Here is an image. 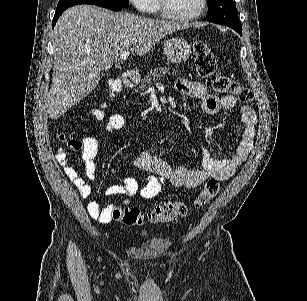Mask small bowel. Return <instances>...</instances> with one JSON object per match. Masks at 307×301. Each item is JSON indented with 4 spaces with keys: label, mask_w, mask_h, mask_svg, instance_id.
<instances>
[{
    "label": "small bowel",
    "mask_w": 307,
    "mask_h": 301,
    "mask_svg": "<svg viewBox=\"0 0 307 301\" xmlns=\"http://www.w3.org/2000/svg\"><path fill=\"white\" fill-rule=\"evenodd\" d=\"M178 92L191 98L201 100V108L208 115H216L221 110H233L237 106V100L233 95L218 97L209 94L207 88L199 82L180 79L176 82ZM241 119L244 128L240 135L239 144L227 158L213 157L203 146H198L201 156V168L190 169L187 167L173 168L168 162L148 151H142L135 158L134 164L139 169L152 173L148 176L144 185L139 186L138 181L131 176L123 179L121 184L112 185L107 189L110 196H123V203L127 204L139 193L145 199L156 197L164 185L170 184L178 188H196L208 178L226 180L230 178L248 157L254 143L257 117L255 111L248 105L241 107ZM124 125V119L120 114L112 115L106 125L108 131L120 129ZM82 159L88 180L95 178V158L98 152V141L94 137H85L82 140ZM56 159L64 173L77 188L81 197L88 200L86 209L88 214L100 223H108L112 217L115 205L101 207L97 202L89 200L92 190L89 184L78 174L76 169L68 162L65 149L59 147L56 151Z\"/></svg>",
    "instance_id": "1"
}]
</instances>
